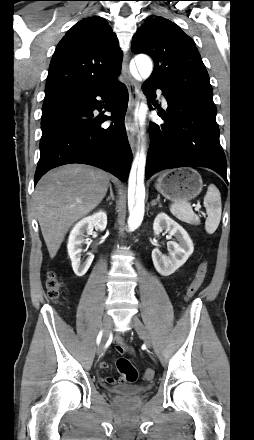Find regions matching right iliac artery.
Returning a JSON list of instances; mask_svg holds the SVG:
<instances>
[{
	"label": "right iliac artery",
	"instance_id": "1",
	"mask_svg": "<svg viewBox=\"0 0 254 440\" xmlns=\"http://www.w3.org/2000/svg\"><path fill=\"white\" fill-rule=\"evenodd\" d=\"M101 337H102V331L99 333V335L97 337V344L100 343Z\"/></svg>",
	"mask_w": 254,
	"mask_h": 440
}]
</instances>
